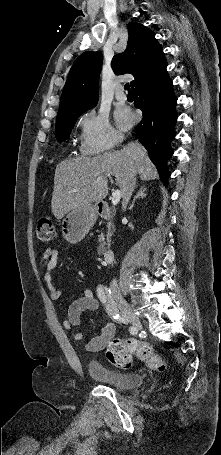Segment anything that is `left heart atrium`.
<instances>
[{
	"mask_svg": "<svg viewBox=\"0 0 221 455\" xmlns=\"http://www.w3.org/2000/svg\"><path fill=\"white\" fill-rule=\"evenodd\" d=\"M116 121L119 126L126 128L133 121V115L128 109H119L116 112Z\"/></svg>",
	"mask_w": 221,
	"mask_h": 455,
	"instance_id": "left-heart-atrium-1",
	"label": "left heart atrium"
}]
</instances>
